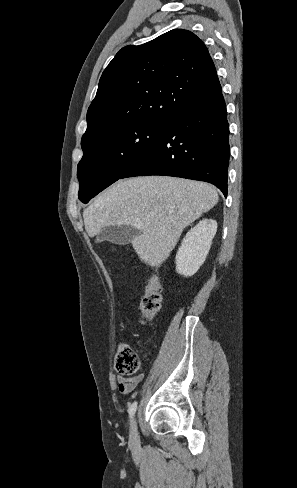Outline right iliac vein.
<instances>
[{
  "label": "right iliac vein",
  "instance_id": "1",
  "mask_svg": "<svg viewBox=\"0 0 297 488\" xmlns=\"http://www.w3.org/2000/svg\"><path fill=\"white\" fill-rule=\"evenodd\" d=\"M129 443L133 447H137L139 444V435L137 430V422L133 419L131 426H130V434H129Z\"/></svg>",
  "mask_w": 297,
  "mask_h": 488
}]
</instances>
